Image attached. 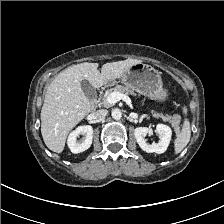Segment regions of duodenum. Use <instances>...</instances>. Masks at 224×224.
<instances>
[{"label": "duodenum", "instance_id": "duodenum-1", "mask_svg": "<svg viewBox=\"0 0 224 224\" xmlns=\"http://www.w3.org/2000/svg\"><path fill=\"white\" fill-rule=\"evenodd\" d=\"M91 104H92V107H93V108H96V106H97V104H98L97 98H94V99L91 101Z\"/></svg>", "mask_w": 224, "mask_h": 224}]
</instances>
